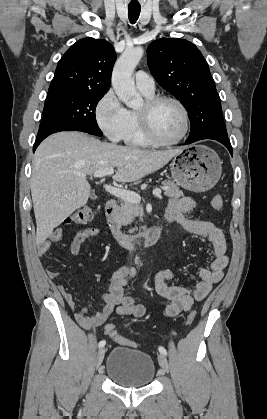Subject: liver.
I'll return each mask as SVG.
<instances>
[{
  "mask_svg": "<svg viewBox=\"0 0 267 419\" xmlns=\"http://www.w3.org/2000/svg\"><path fill=\"white\" fill-rule=\"evenodd\" d=\"M181 149L119 146L81 132L49 136L37 148L32 162L30 187L37 244L44 243L54 228L87 203L91 187L86 176L117 168L115 181L134 182L165 166Z\"/></svg>",
  "mask_w": 267,
  "mask_h": 419,
  "instance_id": "6515ba94",
  "label": "liver"
}]
</instances>
